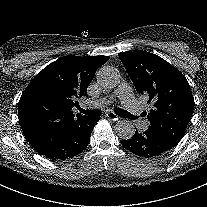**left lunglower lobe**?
I'll return each instance as SVG.
<instances>
[{"instance_id": "obj_1", "label": "left lung lower lobe", "mask_w": 207, "mask_h": 207, "mask_svg": "<svg viewBox=\"0 0 207 207\" xmlns=\"http://www.w3.org/2000/svg\"><path fill=\"white\" fill-rule=\"evenodd\" d=\"M120 142L130 152L145 158L159 156L175 147L166 138L150 129L143 133H139L136 129L131 139Z\"/></svg>"}]
</instances>
